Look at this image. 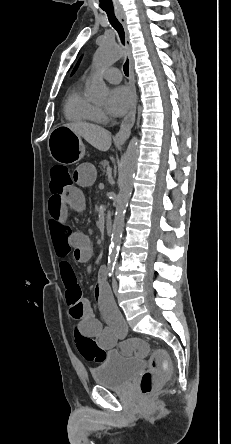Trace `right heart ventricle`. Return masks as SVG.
Segmentation results:
<instances>
[{"label": "right heart ventricle", "instance_id": "e07e8e85", "mask_svg": "<svg viewBox=\"0 0 231 444\" xmlns=\"http://www.w3.org/2000/svg\"><path fill=\"white\" fill-rule=\"evenodd\" d=\"M65 117L73 122H97V108L84 95L81 87L74 88L67 96Z\"/></svg>", "mask_w": 231, "mask_h": 444}]
</instances>
